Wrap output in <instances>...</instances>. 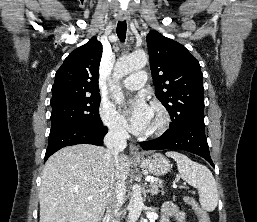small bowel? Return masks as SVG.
<instances>
[{
	"instance_id": "small-bowel-1",
	"label": "small bowel",
	"mask_w": 257,
	"mask_h": 222,
	"mask_svg": "<svg viewBox=\"0 0 257 222\" xmlns=\"http://www.w3.org/2000/svg\"><path fill=\"white\" fill-rule=\"evenodd\" d=\"M163 219L162 222H170L169 218H174L176 222H186L185 214L178 210L173 203H166L163 208Z\"/></svg>"
}]
</instances>
